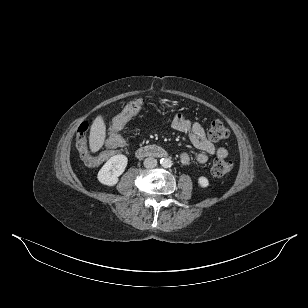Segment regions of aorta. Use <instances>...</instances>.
Listing matches in <instances>:
<instances>
[{"mask_svg":"<svg viewBox=\"0 0 308 308\" xmlns=\"http://www.w3.org/2000/svg\"><path fill=\"white\" fill-rule=\"evenodd\" d=\"M160 164L162 165V167L164 168H169L172 166V161L169 158H162L160 160Z\"/></svg>","mask_w":308,"mask_h":308,"instance_id":"1","label":"aorta"}]
</instances>
